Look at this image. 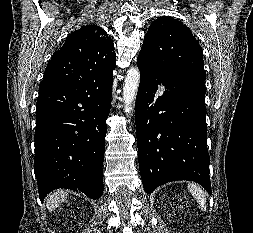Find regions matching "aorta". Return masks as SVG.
Listing matches in <instances>:
<instances>
[{"mask_svg":"<svg viewBox=\"0 0 253 233\" xmlns=\"http://www.w3.org/2000/svg\"><path fill=\"white\" fill-rule=\"evenodd\" d=\"M140 82V72L137 68L131 67L127 71L123 86L124 111L127 115L133 111V103L135 101Z\"/></svg>","mask_w":253,"mask_h":233,"instance_id":"1","label":"aorta"}]
</instances>
